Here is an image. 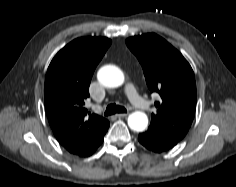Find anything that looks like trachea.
<instances>
[{"mask_svg": "<svg viewBox=\"0 0 236 187\" xmlns=\"http://www.w3.org/2000/svg\"><path fill=\"white\" fill-rule=\"evenodd\" d=\"M127 110L123 106L116 105L115 103L107 106L106 111L104 113L105 116H109L115 113H126Z\"/></svg>", "mask_w": 236, "mask_h": 187, "instance_id": "obj_1", "label": "trachea"}]
</instances>
